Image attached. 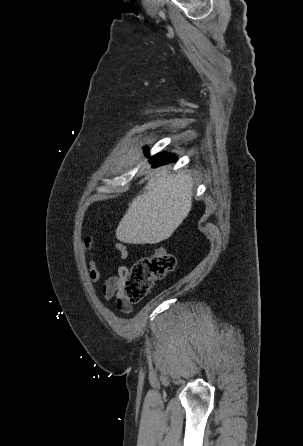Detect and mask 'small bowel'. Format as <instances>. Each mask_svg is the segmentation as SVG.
Instances as JSON below:
<instances>
[{"label":"small bowel","mask_w":303,"mask_h":446,"mask_svg":"<svg viewBox=\"0 0 303 446\" xmlns=\"http://www.w3.org/2000/svg\"><path fill=\"white\" fill-rule=\"evenodd\" d=\"M96 242L97 237L93 234H88L83 237L80 245L82 261L88 267V278L92 284H96L101 278L100 270L92 258L93 248ZM115 248L119 252L121 259L127 258L128 251L125 245L116 242ZM128 272L126 266L120 265L117 268V272L108 277L102 285L103 298L109 301L115 297L118 309L123 312H129L131 310V304L126 302L124 293Z\"/></svg>","instance_id":"1"}]
</instances>
